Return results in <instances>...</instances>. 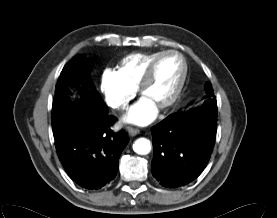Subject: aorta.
Returning a JSON list of instances; mask_svg holds the SVG:
<instances>
[{"instance_id": "aorta-1", "label": "aorta", "mask_w": 277, "mask_h": 218, "mask_svg": "<svg viewBox=\"0 0 277 218\" xmlns=\"http://www.w3.org/2000/svg\"><path fill=\"white\" fill-rule=\"evenodd\" d=\"M151 142L146 138H139L133 144V150L139 155H146L151 151Z\"/></svg>"}]
</instances>
